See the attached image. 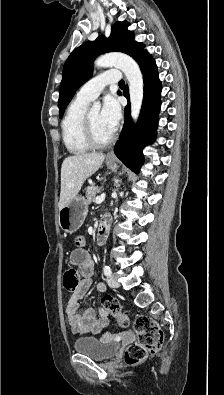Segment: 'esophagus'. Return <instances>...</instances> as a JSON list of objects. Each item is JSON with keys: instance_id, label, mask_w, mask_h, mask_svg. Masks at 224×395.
<instances>
[{"instance_id": "34e87169", "label": "esophagus", "mask_w": 224, "mask_h": 395, "mask_svg": "<svg viewBox=\"0 0 224 395\" xmlns=\"http://www.w3.org/2000/svg\"><path fill=\"white\" fill-rule=\"evenodd\" d=\"M106 158H107V159H114V158H115L114 152H113L112 149L107 153Z\"/></svg>"}]
</instances>
